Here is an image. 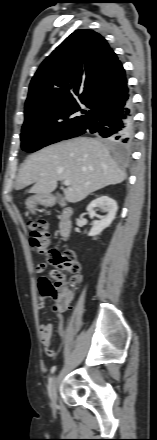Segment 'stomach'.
Here are the masks:
<instances>
[{
	"label": "stomach",
	"mask_w": 157,
	"mask_h": 440,
	"mask_svg": "<svg viewBox=\"0 0 157 440\" xmlns=\"http://www.w3.org/2000/svg\"><path fill=\"white\" fill-rule=\"evenodd\" d=\"M38 203L40 204H44L45 203V198L43 195H38L35 196L33 198H30L27 200V207L30 209H33Z\"/></svg>",
	"instance_id": "obj_1"
}]
</instances>
